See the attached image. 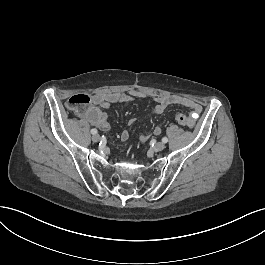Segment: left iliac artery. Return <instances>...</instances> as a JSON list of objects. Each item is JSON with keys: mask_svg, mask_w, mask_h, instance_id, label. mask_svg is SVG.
Masks as SVG:
<instances>
[{"mask_svg": "<svg viewBox=\"0 0 265 265\" xmlns=\"http://www.w3.org/2000/svg\"><path fill=\"white\" fill-rule=\"evenodd\" d=\"M162 142H163V143H167V142H168V138H167V137H163V138H162Z\"/></svg>", "mask_w": 265, "mask_h": 265, "instance_id": "1", "label": "left iliac artery"}]
</instances>
